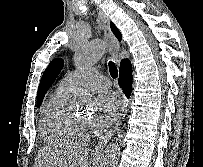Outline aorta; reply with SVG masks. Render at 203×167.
Here are the masks:
<instances>
[{"label": "aorta", "mask_w": 203, "mask_h": 167, "mask_svg": "<svg viewBox=\"0 0 203 167\" xmlns=\"http://www.w3.org/2000/svg\"><path fill=\"white\" fill-rule=\"evenodd\" d=\"M107 44L102 40H93L82 43L76 50L74 62L77 68H88L96 64L105 54ZM77 97L81 101H88L90 94L84 89H78ZM120 155L117 143H110L104 150L100 167H116Z\"/></svg>", "instance_id": "aorta-1"}]
</instances>
